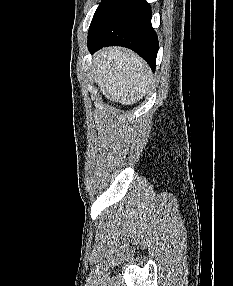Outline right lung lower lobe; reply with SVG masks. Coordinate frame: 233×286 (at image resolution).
Listing matches in <instances>:
<instances>
[{
	"instance_id": "1",
	"label": "right lung lower lobe",
	"mask_w": 233,
	"mask_h": 286,
	"mask_svg": "<svg viewBox=\"0 0 233 286\" xmlns=\"http://www.w3.org/2000/svg\"><path fill=\"white\" fill-rule=\"evenodd\" d=\"M104 46L130 48L155 71L159 45L146 0L101 2L89 28L88 48L93 53Z\"/></svg>"
}]
</instances>
